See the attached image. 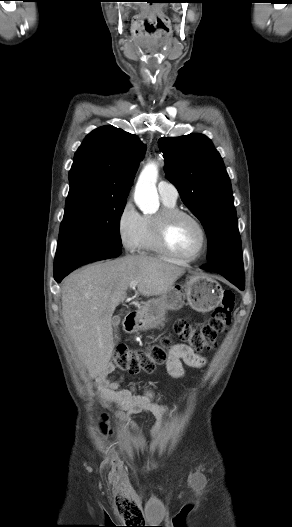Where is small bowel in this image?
<instances>
[{
  "instance_id": "obj_1",
  "label": "small bowel",
  "mask_w": 292,
  "mask_h": 527,
  "mask_svg": "<svg viewBox=\"0 0 292 527\" xmlns=\"http://www.w3.org/2000/svg\"><path fill=\"white\" fill-rule=\"evenodd\" d=\"M205 364V357L185 344H174L168 351L166 367L173 378L184 377V365L201 368ZM122 381V375L114 374L113 365L107 366L101 375V383L109 390V399L114 401L119 409L117 416L138 431V426L130 418V415L142 412L150 413L155 418V423L151 429V435L155 436L160 430L163 417L169 412L168 408L158 402V397L150 386H146L143 393L138 394L133 384L127 389L120 390L119 386Z\"/></svg>"
}]
</instances>
